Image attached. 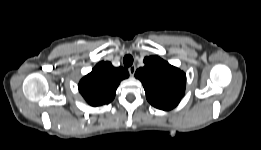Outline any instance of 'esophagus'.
<instances>
[{"label":"esophagus","instance_id":"34e87169","mask_svg":"<svg viewBox=\"0 0 261 150\" xmlns=\"http://www.w3.org/2000/svg\"><path fill=\"white\" fill-rule=\"evenodd\" d=\"M128 71H129L130 75L133 76L135 74V71H136L135 65L130 66L128 68Z\"/></svg>","mask_w":261,"mask_h":150}]
</instances>
